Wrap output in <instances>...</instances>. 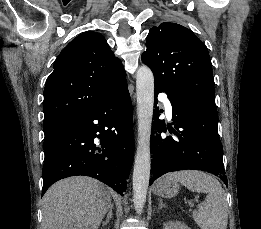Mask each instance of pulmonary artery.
Masks as SVG:
<instances>
[{
    "mask_svg": "<svg viewBox=\"0 0 261 229\" xmlns=\"http://www.w3.org/2000/svg\"><path fill=\"white\" fill-rule=\"evenodd\" d=\"M161 95L163 96L164 104L167 105L165 108L166 114L168 116H171L173 114L172 108L169 105H174V100H170V97L167 96L168 92L167 91H162Z\"/></svg>",
    "mask_w": 261,
    "mask_h": 229,
    "instance_id": "e3ab8cb5",
    "label": "pulmonary artery"
}]
</instances>
